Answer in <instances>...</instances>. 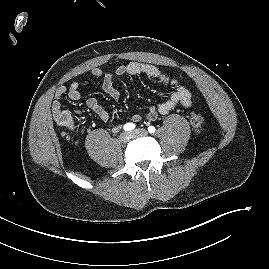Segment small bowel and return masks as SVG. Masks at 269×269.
<instances>
[{
  "mask_svg": "<svg viewBox=\"0 0 269 269\" xmlns=\"http://www.w3.org/2000/svg\"><path fill=\"white\" fill-rule=\"evenodd\" d=\"M115 73L119 76L122 75H146L147 77L156 80L162 84L171 86L173 91L171 92L169 98L160 103L158 106H151L147 113V118L149 120H155L158 115H167L175 109L176 106L180 105L183 108H190L192 104L191 92L187 87L182 85L176 78L170 77L164 72H162L158 67L140 62H130L128 64L119 65ZM94 77L102 80V88L110 97L113 99L119 98V92L114 87L112 74L101 69L95 68L92 71ZM82 80H76L70 84L69 87L60 86L57 88L54 100L52 102V114L55 121L63 126L68 128L71 131L75 130L73 124L72 115L69 111L62 108L61 100L64 96H67L72 101H78L81 98L80 86ZM87 107L92 110L99 119L104 122H107L110 118L108 111L103 108L98 100L95 97H89L86 100ZM79 114V111H76ZM67 116L68 121L65 122L63 117ZM132 120L138 122L141 120V115L136 113L132 116ZM120 130L119 125L112 127V132L117 133Z\"/></svg>",
  "mask_w": 269,
  "mask_h": 269,
  "instance_id": "small-bowel-1",
  "label": "small bowel"
}]
</instances>
